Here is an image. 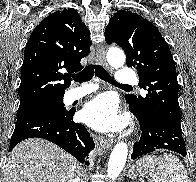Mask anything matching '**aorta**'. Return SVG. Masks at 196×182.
<instances>
[{
  "label": "aorta",
  "mask_w": 196,
  "mask_h": 182,
  "mask_svg": "<svg viewBox=\"0 0 196 182\" xmlns=\"http://www.w3.org/2000/svg\"><path fill=\"white\" fill-rule=\"evenodd\" d=\"M108 63L114 68H120L125 62V55L120 49H110L107 53ZM128 156V147L124 141L118 142L110 155L107 166V175L114 181L125 166Z\"/></svg>",
  "instance_id": "aorta-1"
}]
</instances>
